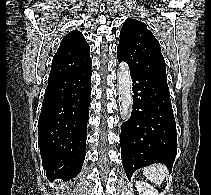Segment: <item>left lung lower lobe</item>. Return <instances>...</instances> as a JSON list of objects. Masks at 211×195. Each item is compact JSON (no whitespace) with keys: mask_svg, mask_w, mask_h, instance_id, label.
Instances as JSON below:
<instances>
[{"mask_svg":"<svg viewBox=\"0 0 211 195\" xmlns=\"http://www.w3.org/2000/svg\"><path fill=\"white\" fill-rule=\"evenodd\" d=\"M130 74L133 110L121 127V157L129 179L136 169L154 163H163L171 170L177 153L169 89L143 71L130 68Z\"/></svg>","mask_w":211,"mask_h":195,"instance_id":"0a47b994","label":"left lung lower lobe"}]
</instances>
